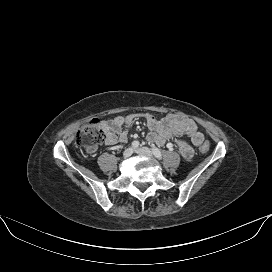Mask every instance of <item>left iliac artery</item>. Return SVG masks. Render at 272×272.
<instances>
[{"label": "left iliac artery", "mask_w": 272, "mask_h": 272, "mask_svg": "<svg viewBox=\"0 0 272 272\" xmlns=\"http://www.w3.org/2000/svg\"><path fill=\"white\" fill-rule=\"evenodd\" d=\"M152 152L155 155V157H157L158 159L162 158V153H161V151L158 148L153 147L152 148Z\"/></svg>", "instance_id": "left-iliac-artery-1"}]
</instances>
